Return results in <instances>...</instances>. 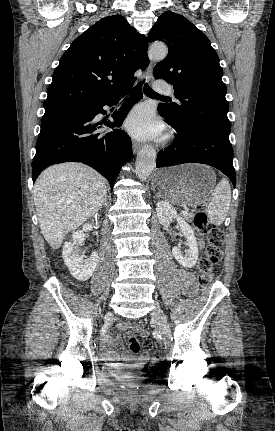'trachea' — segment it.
I'll use <instances>...</instances> for the list:
<instances>
[{
  "label": "trachea",
  "mask_w": 275,
  "mask_h": 431,
  "mask_svg": "<svg viewBox=\"0 0 275 431\" xmlns=\"http://www.w3.org/2000/svg\"><path fill=\"white\" fill-rule=\"evenodd\" d=\"M143 92H144V94L145 95H147V96H153V97H161V98H166V99H168L169 97H167V96H162V95H159V94H157V93H155L150 87H149V85L147 84V83H145V85H144V87H143Z\"/></svg>",
  "instance_id": "obj_1"
}]
</instances>
